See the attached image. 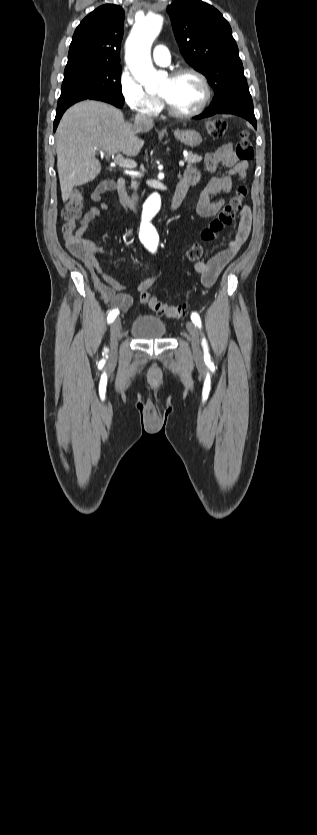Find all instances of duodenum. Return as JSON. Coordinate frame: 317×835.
Segmentation results:
<instances>
[{
  "mask_svg": "<svg viewBox=\"0 0 317 835\" xmlns=\"http://www.w3.org/2000/svg\"><path fill=\"white\" fill-rule=\"evenodd\" d=\"M107 189L111 192H115L122 204L131 208L134 207V201L127 192L126 181L124 178H119L116 182L107 181ZM186 190L187 188L181 182L178 183L170 200V210H175L179 207Z\"/></svg>",
  "mask_w": 317,
  "mask_h": 835,
  "instance_id": "duodenum-1",
  "label": "duodenum"
}]
</instances>
